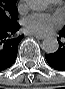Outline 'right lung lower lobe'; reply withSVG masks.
Wrapping results in <instances>:
<instances>
[{
    "label": "right lung lower lobe",
    "instance_id": "1",
    "mask_svg": "<svg viewBox=\"0 0 65 89\" xmlns=\"http://www.w3.org/2000/svg\"><path fill=\"white\" fill-rule=\"evenodd\" d=\"M20 25L0 26V71L9 68L16 59L18 44L24 35L17 36Z\"/></svg>",
    "mask_w": 65,
    "mask_h": 89
}]
</instances>
